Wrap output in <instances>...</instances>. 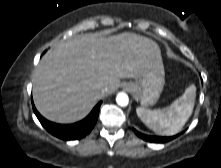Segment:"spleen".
<instances>
[{
    "label": "spleen",
    "instance_id": "obj_1",
    "mask_svg": "<svg viewBox=\"0 0 221 168\" xmlns=\"http://www.w3.org/2000/svg\"><path fill=\"white\" fill-rule=\"evenodd\" d=\"M196 98V87L190 85L184 94L176 99L168 108L148 110L143 107L136 108L141 121L154 132L163 136L177 134L190 118Z\"/></svg>",
    "mask_w": 221,
    "mask_h": 168
}]
</instances>
